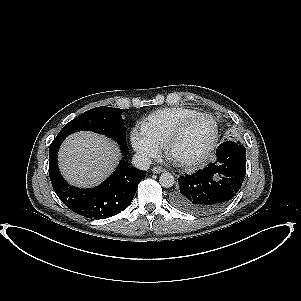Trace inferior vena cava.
Masks as SVG:
<instances>
[{
  "label": "inferior vena cava",
  "instance_id": "inferior-vena-cava-1",
  "mask_svg": "<svg viewBox=\"0 0 301 301\" xmlns=\"http://www.w3.org/2000/svg\"><path fill=\"white\" fill-rule=\"evenodd\" d=\"M151 164V159L145 155L135 154L132 158V166L139 170H148Z\"/></svg>",
  "mask_w": 301,
  "mask_h": 301
}]
</instances>
